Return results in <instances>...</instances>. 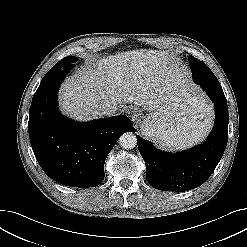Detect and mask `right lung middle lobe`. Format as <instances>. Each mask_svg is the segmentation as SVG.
<instances>
[{"mask_svg":"<svg viewBox=\"0 0 247 247\" xmlns=\"http://www.w3.org/2000/svg\"><path fill=\"white\" fill-rule=\"evenodd\" d=\"M78 60L75 56H68L60 60L57 64H55L50 70L65 68L71 69L76 61Z\"/></svg>","mask_w":247,"mask_h":247,"instance_id":"dd1d6c3e","label":"right lung middle lobe"}]
</instances>
